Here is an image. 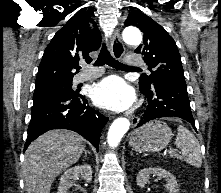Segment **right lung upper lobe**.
Wrapping results in <instances>:
<instances>
[{"instance_id": "1", "label": "right lung upper lobe", "mask_w": 221, "mask_h": 193, "mask_svg": "<svg viewBox=\"0 0 221 193\" xmlns=\"http://www.w3.org/2000/svg\"><path fill=\"white\" fill-rule=\"evenodd\" d=\"M94 24V29L89 27ZM101 35L95 22L85 13H76L54 35L44 51L35 86L72 82V70L82 59L91 60L89 53L100 47Z\"/></svg>"}]
</instances>
